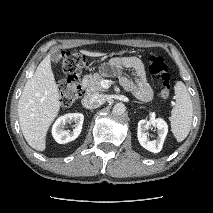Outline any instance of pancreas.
Wrapping results in <instances>:
<instances>
[{
  "label": "pancreas",
  "mask_w": 213,
  "mask_h": 213,
  "mask_svg": "<svg viewBox=\"0 0 213 213\" xmlns=\"http://www.w3.org/2000/svg\"><path fill=\"white\" fill-rule=\"evenodd\" d=\"M103 77L98 73L85 75L82 80V86L86 88L88 93L103 92L105 89L101 86Z\"/></svg>",
  "instance_id": "1"
}]
</instances>
